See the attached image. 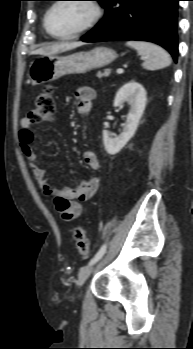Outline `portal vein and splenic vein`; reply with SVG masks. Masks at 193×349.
Segmentation results:
<instances>
[{
	"label": "portal vein and splenic vein",
	"instance_id": "obj_1",
	"mask_svg": "<svg viewBox=\"0 0 193 349\" xmlns=\"http://www.w3.org/2000/svg\"><path fill=\"white\" fill-rule=\"evenodd\" d=\"M116 72H117L118 74H121V73L124 72V70H123L122 68H118V69L116 70Z\"/></svg>",
	"mask_w": 193,
	"mask_h": 349
}]
</instances>
